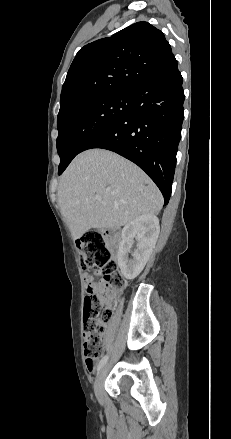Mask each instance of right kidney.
<instances>
[{"label": "right kidney", "mask_w": 231, "mask_h": 439, "mask_svg": "<svg viewBox=\"0 0 231 439\" xmlns=\"http://www.w3.org/2000/svg\"><path fill=\"white\" fill-rule=\"evenodd\" d=\"M159 231V220L155 215H142L123 228L117 261L126 279L136 278L143 270L156 244ZM135 236L137 249L131 254L130 259L128 254Z\"/></svg>", "instance_id": "obj_1"}]
</instances>
